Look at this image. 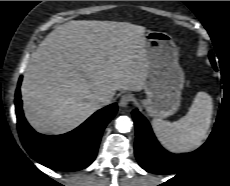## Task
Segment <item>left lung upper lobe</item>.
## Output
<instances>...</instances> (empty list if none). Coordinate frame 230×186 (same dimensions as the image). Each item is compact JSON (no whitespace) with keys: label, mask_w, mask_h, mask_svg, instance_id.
Listing matches in <instances>:
<instances>
[{"label":"left lung upper lobe","mask_w":230,"mask_h":186,"mask_svg":"<svg viewBox=\"0 0 230 186\" xmlns=\"http://www.w3.org/2000/svg\"><path fill=\"white\" fill-rule=\"evenodd\" d=\"M209 58H210V61L213 65V67L216 69L215 59H214L212 52L209 53Z\"/></svg>","instance_id":"left-lung-upper-lobe-1"}]
</instances>
